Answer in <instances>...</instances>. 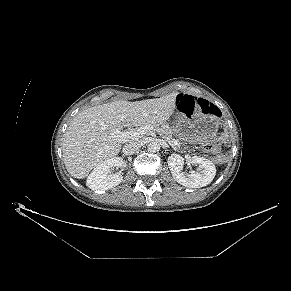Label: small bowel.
Listing matches in <instances>:
<instances>
[{"instance_id": "c3829d8e", "label": "small bowel", "mask_w": 291, "mask_h": 291, "mask_svg": "<svg viewBox=\"0 0 291 291\" xmlns=\"http://www.w3.org/2000/svg\"><path fill=\"white\" fill-rule=\"evenodd\" d=\"M187 96L195 97V96H192V95H187Z\"/></svg>"}]
</instances>
